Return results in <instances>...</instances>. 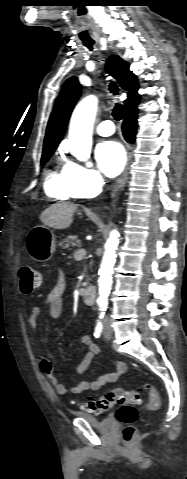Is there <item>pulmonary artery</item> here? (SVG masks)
Masks as SVG:
<instances>
[{"instance_id": "1", "label": "pulmonary artery", "mask_w": 187, "mask_h": 479, "mask_svg": "<svg viewBox=\"0 0 187 479\" xmlns=\"http://www.w3.org/2000/svg\"><path fill=\"white\" fill-rule=\"evenodd\" d=\"M96 131L101 136H110L114 133L115 127L112 121L106 120L96 127Z\"/></svg>"}]
</instances>
